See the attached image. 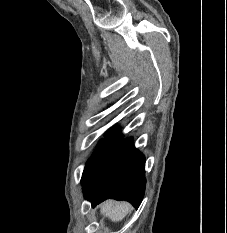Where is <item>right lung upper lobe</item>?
Instances as JSON below:
<instances>
[{
    "mask_svg": "<svg viewBox=\"0 0 227 233\" xmlns=\"http://www.w3.org/2000/svg\"><path fill=\"white\" fill-rule=\"evenodd\" d=\"M107 135H114V136H119L121 137V134L118 132V130L115 128V129H111Z\"/></svg>",
    "mask_w": 227,
    "mask_h": 233,
    "instance_id": "right-lung-upper-lobe-1",
    "label": "right lung upper lobe"
}]
</instances>
